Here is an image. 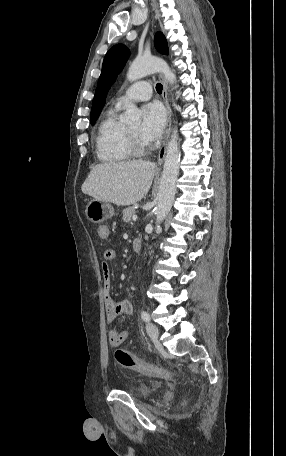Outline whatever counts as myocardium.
Listing matches in <instances>:
<instances>
[{"label":"myocardium","mask_w":286,"mask_h":456,"mask_svg":"<svg viewBox=\"0 0 286 456\" xmlns=\"http://www.w3.org/2000/svg\"><path fill=\"white\" fill-rule=\"evenodd\" d=\"M127 140L130 153L134 156L144 155L149 150V145L141 141L127 129Z\"/></svg>","instance_id":"f54148a6"}]
</instances>
